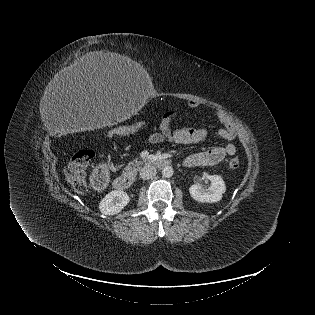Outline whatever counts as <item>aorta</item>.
Returning <instances> with one entry per match:
<instances>
[{
  "label": "aorta",
  "mask_w": 315,
  "mask_h": 315,
  "mask_svg": "<svg viewBox=\"0 0 315 315\" xmlns=\"http://www.w3.org/2000/svg\"><path fill=\"white\" fill-rule=\"evenodd\" d=\"M173 168L171 166H165L162 170V175L165 177V178H170L173 176Z\"/></svg>",
  "instance_id": "762f6f07"
}]
</instances>
